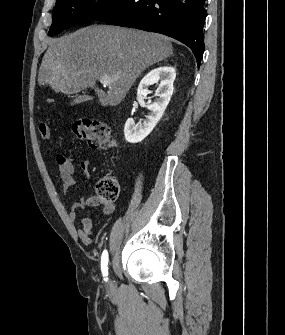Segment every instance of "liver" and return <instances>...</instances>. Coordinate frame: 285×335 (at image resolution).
Here are the masks:
<instances>
[{"mask_svg":"<svg viewBox=\"0 0 285 335\" xmlns=\"http://www.w3.org/2000/svg\"><path fill=\"white\" fill-rule=\"evenodd\" d=\"M39 70V86L61 94L94 90L100 106H118L140 74L172 54L169 38L120 26H86L69 36L47 40ZM100 76H119L108 92Z\"/></svg>","mask_w":285,"mask_h":335,"instance_id":"liver-1","label":"liver"}]
</instances>
